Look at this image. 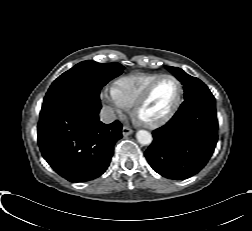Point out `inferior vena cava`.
I'll return each mask as SVG.
<instances>
[{
  "label": "inferior vena cava",
  "instance_id": "602c4592",
  "mask_svg": "<svg viewBox=\"0 0 252 231\" xmlns=\"http://www.w3.org/2000/svg\"><path fill=\"white\" fill-rule=\"evenodd\" d=\"M115 119H116V114L111 107L109 106L102 107L100 111V120L103 123H106V124L112 123L113 121H115Z\"/></svg>",
  "mask_w": 252,
  "mask_h": 231
}]
</instances>
